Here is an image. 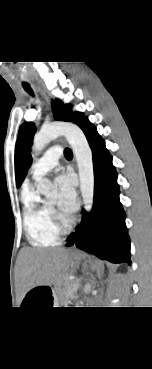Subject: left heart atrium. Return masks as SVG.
Masks as SVG:
<instances>
[{
  "label": "left heart atrium",
  "instance_id": "39dd6f15",
  "mask_svg": "<svg viewBox=\"0 0 152 369\" xmlns=\"http://www.w3.org/2000/svg\"><path fill=\"white\" fill-rule=\"evenodd\" d=\"M56 184L59 190V208L69 216L75 212L78 205L74 180L72 176L63 174L56 178Z\"/></svg>",
  "mask_w": 152,
  "mask_h": 369
}]
</instances>
